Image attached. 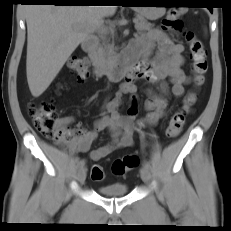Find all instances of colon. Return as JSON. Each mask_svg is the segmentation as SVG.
<instances>
[{
    "label": "colon",
    "instance_id": "5ec220e1",
    "mask_svg": "<svg viewBox=\"0 0 231 231\" xmlns=\"http://www.w3.org/2000/svg\"><path fill=\"white\" fill-rule=\"evenodd\" d=\"M182 14L183 10L179 8L169 10L167 16L162 21V27L165 30L182 35L187 42L192 62V70L194 72V82L196 85L200 86L204 83L205 74L208 70L207 51L203 43L193 32L184 30L183 21L181 19ZM68 68L80 81L88 77L89 64L86 58L72 57L68 62ZM188 107L189 106L185 105L170 118L166 129V135L169 138H176L182 132ZM30 113L35 128L45 137L59 145H66L74 138L81 137L85 134L81 130H73L67 125H64L57 118L55 107L50 101H45L37 106H33ZM137 163L138 160L135 155H125L113 162L112 172L116 176H124L127 171L134 168ZM90 176L94 181H101L105 176L103 167L99 164L93 165Z\"/></svg>",
    "mask_w": 231,
    "mask_h": 231
}]
</instances>
